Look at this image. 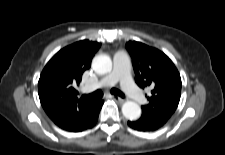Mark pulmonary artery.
<instances>
[{
	"instance_id": "1",
	"label": "pulmonary artery",
	"mask_w": 225,
	"mask_h": 155,
	"mask_svg": "<svg viewBox=\"0 0 225 155\" xmlns=\"http://www.w3.org/2000/svg\"><path fill=\"white\" fill-rule=\"evenodd\" d=\"M120 83L123 91L136 102H143L142 92L134 84L129 72V58L125 51H118L114 55V67L110 74L103 77L93 88L110 87Z\"/></svg>"
}]
</instances>
